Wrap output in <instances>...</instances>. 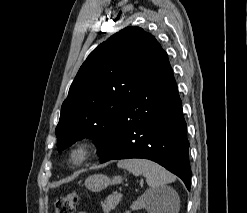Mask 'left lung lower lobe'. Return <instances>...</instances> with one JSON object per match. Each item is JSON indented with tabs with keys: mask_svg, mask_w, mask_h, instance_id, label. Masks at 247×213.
I'll return each mask as SVG.
<instances>
[{
	"mask_svg": "<svg viewBox=\"0 0 247 213\" xmlns=\"http://www.w3.org/2000/svg\"><path fill=\"white\" fill-rule=\"evenodd\" d=\"M100 157L101 163L129 158L155 161L190 190L186 122L168 57L146 71L136 95L125 102L113 139Z\"/></svg>",
	"mask_w": 247,
	"mask_h": 213,
	"instance_id": "0a47b994",
	"label": "left lung lower lobe"
}]
</instances>
